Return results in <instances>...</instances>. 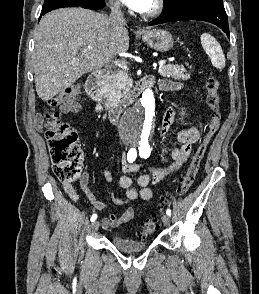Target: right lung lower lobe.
<instances>
[{"instance_id":"right-lung-lower-lobe-1","label":"right lung lower lobe","mask_w":259,"mask_h":294,"mask_svg":"<svg viewBox=\"0 0 259 294\" xmlns=\"http://www.w3.org/2000/svg\"><path fill=\"white\" fill-rule=\"evenodd\" d=\"M104 5H105V2L103 0H96L94 3L89 4V5H85V6H78V5H73V4H59L55 7H53L52 9H50L49 11H52V10L58 9V8H63V7H82V8H89V9H96L97 10V9L103 8ZM46 13H41V15H44ZM40 18H41V16H40Z\"/></svg>"}]
</instances>
